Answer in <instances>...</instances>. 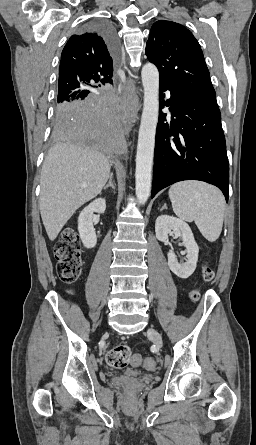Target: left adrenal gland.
<instances>
[{
    "label": "left adrenal gland",
    "instance_id": "obj_1",
    "mask_svg": "<svg viewBox=\"0 0 256 445\" xmlns=\"http://www.w3.org/2000/svg\"><path fill=\"white\" fill-rule=\"evenodd\" d=\"M166 208H167V206H166V204H164V206L161 208V210L166 209Z\"/></svg>",
    "mask_w": 256,
    "mask_h": 445
}]
</instances>
